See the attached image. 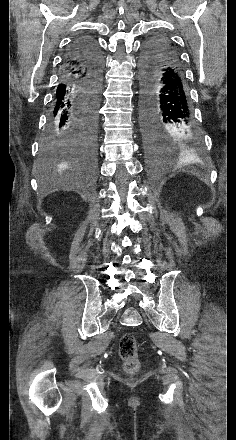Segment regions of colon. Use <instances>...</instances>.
Masks as SVG:
<instances>
[{
  "label": "colon",
  "instance_id": "colon-1",
  "mask_svg": "<svg viewBox=\"0 0 236 440\" xmlns=\"http://www.w3.org/2000/svg\"><path fill=\"white\" fill-rule=\"evenodd\" d=\"M120 355L125 362V368L129 372H135L139 367L137 347L131 335L123 337L120 343Z\"/></svg>",
  "mask_w": 236,
  "mask_h": 440
}]
</instances>
